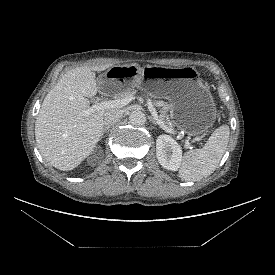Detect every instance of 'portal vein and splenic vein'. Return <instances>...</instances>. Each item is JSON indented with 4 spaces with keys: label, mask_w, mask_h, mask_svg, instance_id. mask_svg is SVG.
Wrapping results in <instances>:
<instances>
[{
    "label": "portal vein and splenic vein",
    "mask_w": 275,
    "mask_h": 275,
    "mask_svg": "<svg viewBox=\"0 0 275 275\" xmlns=\"http://www.w3.org/2000/svg\"><path fill=\"white\" fill-rule=\"evenodd\" d=\"M134 99V95H127L122 99H116V100H110V101H102L100 103L94 104L90 106L88 109L82 111L81 115L83 117H87L90 114L99 111V110H106L111 108H121L123 106H126L128 103H130ZM148 109L151 112L154 119L157 121L158 125L165 130L168 133H171L173 135H177V133L173 130V128L167 126L158 116L156 109L154 108V105L150 99H147ZM178 138L181 139V137L178 135ZM184 143V146L186 148H190V143L188 140L184 139L182 140Z\"/></svg>",
    "instance_id": "1"
}]
</instances>
